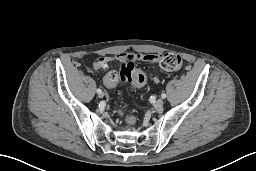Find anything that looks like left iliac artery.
<instances>
[{
    "instance_id": "44dca946",
    "label": "left iliac artery",
    "mask_w": 256,
    "mask_h": 171,
    "mask_svg": "<svg viewBox=\"0 0 256 171\" xmlns=\"http://www.w3.org/2000/svg\"><path fill=\"white\" fill-rule=\"evenodd\" d=\"M161 97H162V98H166V94H165V93H162Z\"/></svg>"
}]
</instances>
